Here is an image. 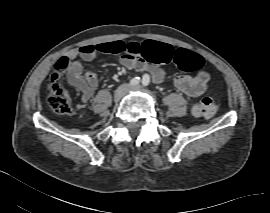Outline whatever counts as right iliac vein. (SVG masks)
<instances>
[{
  "instance_id": "63e3f726",
  "label": "right iliac vein",
  "mask_w": 270,
  "mask_h": 213,
  "mask_svg": "<svg viewBox=\"0 0 270 213\" xmlns=\"http://www.w3.org/2000/svg\"><path fill=\"white\" fill-rule=\"evenodd\" d=\"M127 88H128L127 84H122L116 89L113 96L115 102H118L124 96L125 92L127 91Z\"/></svg>"
}]
</instances>
